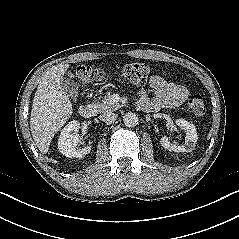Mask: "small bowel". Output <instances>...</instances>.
<instances>
[{
    "instance_id": "obj_1",
    "label": "small bowel",
    "mask_w": 239,
    "mask_h": 239,
    "mask_svg": "<svg viewBox=\"0 0 239 239\" xmlns=\"http://www.w3.org/2000/svg\"><path fill=\"white\" fill-rule=\"evenodd\" d=\"M149 85L154 96H149L146 90L139 92V104L144 110H158L181 104L188 95L185 86L168 82L159 75H153Z\"/></svg>"
}]
</instances>
